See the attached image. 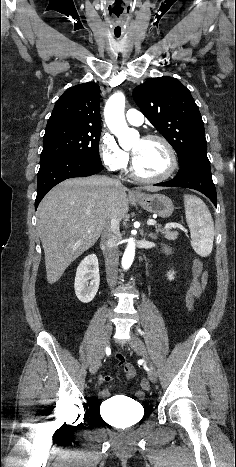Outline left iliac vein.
<instances>
[{"mask_svg":"<svg viewBox=\"0 0 236 467\" xmlns=\"http://www.w3.org/2000/svg\"><path fill=\"white\" fill-rule=\"evenodd\" d=\"M130 346L131 348L138 354H140L146 361L148 365V378L151 382L155 383L158 378L157 371L155 367L153 366L152 362L150 361V358L148 356L146 347L143 343V341L134 333L131 334V339H130Z\"/></svg>","mask_w":236,"mask_h":467,"instance_id":"left-iliac-vein-1","label":"left iliac vein"}]
</instances>
